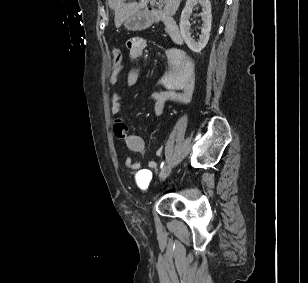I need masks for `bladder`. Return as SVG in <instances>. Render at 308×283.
Segmentation results:
<instances>
[{
    "label": "bladder",
    "mask_w": 308,
    "mask_h": 283,
    "mask_svg": "<svg viewBox=\"0 0 308 283\" xmlns=\"http://www.w3.org/2000/svg\"><path fill=\"white\" fill-rule=\"evenodd\" d=\"M137 181L141 188L148 190L151 187V173L143 170L137 174Z\"/></svg>",
    "instance_id": "obj_1"
}]
</instances>
